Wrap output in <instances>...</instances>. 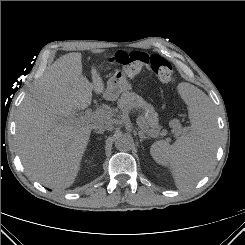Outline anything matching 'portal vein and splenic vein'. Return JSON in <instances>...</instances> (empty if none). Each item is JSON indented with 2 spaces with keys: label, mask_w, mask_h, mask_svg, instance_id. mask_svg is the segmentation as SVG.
<instances>
[{
  "label": "portal vein and splenic vein",
  "mask_w": 245,
  "mask_h": 245,
  "mask_svg": "<svg viewBox=\"0 0 245 245\" xmlns=\"http://www.w3.org/2000/svg\"><path fill=\"white\" fill-rule=\"evenodd\" d=\"M109 117H110V114L103 111V110H97L95 112H93L91 110H87L85 115L81 116V118H83L84 120H87V121L104 120V119H108ZM73 118H76V116H73ZM137 124L143 129L147 128L146 124H145V120L143 117L137 118Z\"/></svg>",
  "instance_id": "1"
}]
</instances>
